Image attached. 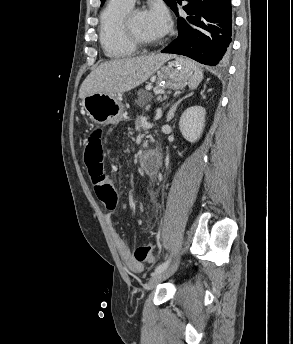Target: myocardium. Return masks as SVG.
Segmentation results:
<instances>
[{"label":"myocardium","mask_w":293,"mask_h":344,"mask_svg":"<svg viewBox=\"0 0 293 344\" xmlns=\"http://www.w3.org/2000/svg\"><path fill=\"white\" fill-rule=\"evenodd\" d=\"M144 10L139 7H132L129 9L124 17L122 18L121 22V28H122V33L124 37L126 38L127 41H129L131 44L136 46L137 48H150L154 47L157 45H160L162 43L161 40L159 41H147L142 38H140L133 30L132 28V20L134 16L138 13H142Z\"/></svg>","instance_id":"1"}]
</instances>
